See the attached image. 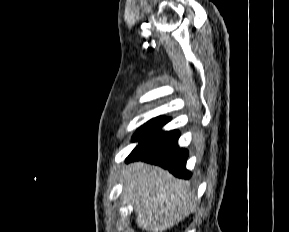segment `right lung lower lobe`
Masks as SVG:
<instances>
[{"instance_id": "98d812e1", "label": "right lung lower lobe", "mask_w": 289, "mask_h": 232, "mask_svg": "<svg viewBox=\"0 0 289 232\" xmlns=\"http://www.w3.org/2000/svg\"><path fill=\"white\" fill-rule=\"evenodd\" d=\"M178 138L177 130L169 132L158 130L141 140L126 161H146L168 169L177 177L189 179L191 173L185 167L188 151L178 146Z\"/></svg>"}]
</instances>
